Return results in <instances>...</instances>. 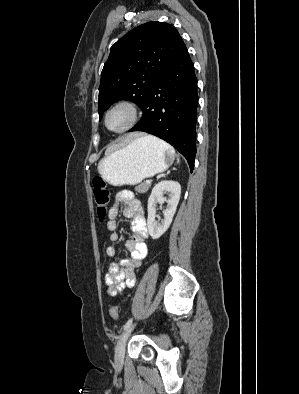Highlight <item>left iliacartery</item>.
Listing matches in <instances>:
<instances>
[{"mask_svg":"<svg viewBox=\"0 0 299 394\" xmlns=\"http://www.w3.org/2000/svg\"><path fill=\"white\" fill-rule=\"evenodd\" d=\"M132 324V318H130L126 324L123 326V329L126 330Z\"/></svg>","mask_w":299,"mask_h":394,"instance_id":"obj_1","label":"left iliac artery"}]
</instances>
